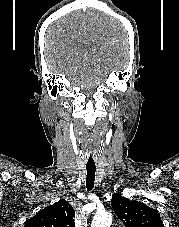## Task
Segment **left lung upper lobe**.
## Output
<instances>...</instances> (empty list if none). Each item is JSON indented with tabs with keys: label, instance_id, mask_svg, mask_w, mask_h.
Segmentation results:
<instances>
[{
	"label": "left lung upper lobe",
	"instance_id": "5c2ea615",
	"mask_svg": "<svg viewBox=\"0 0 179 227\" xmlns=\"http://www.w3.org/2000/svg\"><path fill=\"white\" fill-rule=\"evenodd\" d=\"M111 206L126 227H164L158 211L141 202L114 193Z\"/></svg>",
	"mask_w": 179,
	"mask_h": 227
}]
</instances>
